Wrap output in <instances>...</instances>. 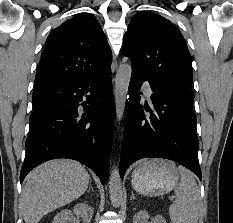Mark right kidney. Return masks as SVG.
<instances>
[{
  "label": "right kidney",
  "mask_w": 233,
  "mask_h": 223,
  "mask_svg": "<svg viewBox=\"0 0 233 223\" xmlns=\"http://www.w3.org/2000/svg\"><path fill=\"white\" fill-rule=\"evenodd\" d=\"M73 213L81 217L83 223H91L93 207L88 205V203H76L73 207V211H71V209H62V211H59V213L55 215L52 223H69L74 217Z\"/></svg>",
  "instance_id": "1"
}]
</instances>
